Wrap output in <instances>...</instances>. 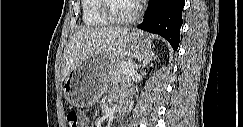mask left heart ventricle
Wrapping results in <instances>:
<instances>
[{
  "label": "left heart ventricle",
  "instance_id": "left-heart-ventricle-1",
  "mask_svg": "<svg viewBox=\"0 0 243 127\" xmlns=\"http://www.w3.org/2000/svg\"><path fill=\"white\" fill-rule=\"evenodd\" d=\"M110 6L117 16L126 17L134 11V2L131 0H111Z\"/></svg>",
  "mask_w": 243,
  "mask_h": 127
}]
</instances>
